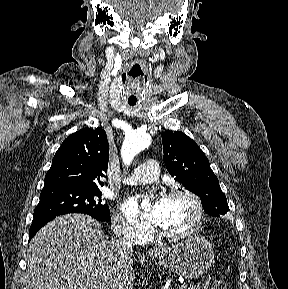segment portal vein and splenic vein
Masks as SVG:
<instances>
[{"instance_id":"18ae733b","label":"portal vein and splenic vein","mask_w":288,"mask_h":289,"mask_svg":"<svg viewBox=\"0 0 288 289\" xmlns=\"http://www.w3.org/2000/svg\"><path fill=\"white\" fill-rule=\"evenodd\" d=\"M186 288H187V285H186V284H184V285H182V286L179 287V289H186Z\"/></svg>"}]
</instances>
